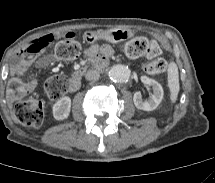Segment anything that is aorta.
Wrapping results in <instances>:
<instances>
[{
  "label": "aorta",
  "mask_w": 215,
  "mask_h": 183,
  "mask_svg": "<svg viewBox=\"0 0 215 183\" xmlns=\"http://www.w3.org/2000/svg\"><path fill=\"white\" fill-rule=\"evenodd\" d=\"M130 69L128 66L123 64L113 65L109 70V77L117 82H125L130 77Z\"/></svg>",
  "instance_id": "aorta-1"
}]
</instances>
